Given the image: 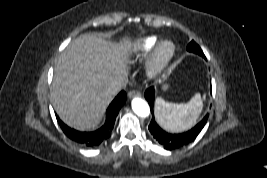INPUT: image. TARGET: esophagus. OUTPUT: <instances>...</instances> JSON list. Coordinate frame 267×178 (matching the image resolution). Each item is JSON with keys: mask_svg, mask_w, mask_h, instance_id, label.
Segmentation results:
<instances>
[{"mask_svg": "<svg viewBox=\"0 0 267 178\" xmlns=\"http://www.w3.org/2000/svg\"><path fill=\"white\" fill-rule=\"evenodd\" d=\"M140 95H141L140 91L135 90V89L128 92L129 98L138 97Z\"/></svg>", "mask_w": 267, "mask_h": 178, "instance_id": "obj_1", "label": "esophagus"}]
</instances>
